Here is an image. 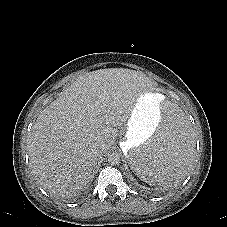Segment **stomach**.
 Returning <instances> with one entry per match:
<instances>
[{
	"instance_id": "stomach-1",
	"label": "stomach",
	"mask_w": 227,
	"mask_h": 227,
	"mask_svg": "<svg viewBox=\"0 0 227 227\" xmlns=\"http://www.w3.org/2000/svg\"><path fill=\"white\" fill-rule=\"evenodd\" d=\"M161 94L143 90L132 109L125 126V136L122 143L125 156L138 147L155 133V125L160 117V110L164 105Z\"/></svg>"
}]
</instances>
